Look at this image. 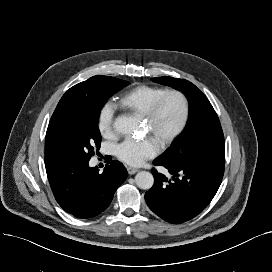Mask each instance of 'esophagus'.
<instances>
[{
  "label": "esophagus",
  "instance_id": "obj_1",
  "mask_svg": "<svg viewBox=\"0 0 272 272\" xmlns=\"http://www.w3.org/2000/svg\"><path fill=\"white\" fill-rule=\"evenodd\" d=\"M127 171L130 175H133L135 173H137L139 170L136 168H132V167H127Z\"/></svg>",
  "mask_w": 272,
  "mask_h": 272
}]
</instances>
